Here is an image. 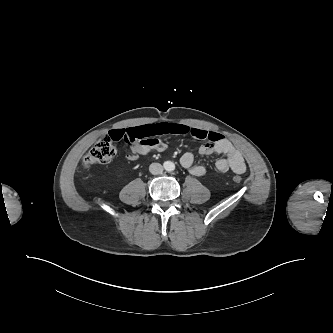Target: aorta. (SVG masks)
<instances>
[{
    "label": "aorta",
    "instance_id": "aorta-1",
    "mask_svg": "<svg viewBox=\"0 0 333 333\" xmlns=\"http://www.w3.org/2000/svg\"><path fill=\"white\" fill-rule=\"evenodd\" d=\"M164 168L168 172L173 171L175 169V164L172 161H165Z\"/></svg>",
    "mask_w": 333,
    "mask_h": 333
}]
</instances>
